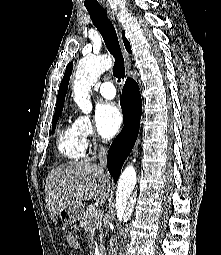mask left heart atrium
Instances as JSON below:
<instances>
[{"label":"left heart atrium","instance_id":"left-heart-atrium-1","mask_svg":"<svg viewBox=\"0 0 221 255\" xmlns=\"http://www.w3.org/2000/svg\"><path fill=\"white\" fill-rule=\"evenodd\" d=\"M96 117L99 129L108 135L114 134L122 123L121 110L114 103H103L99 105Z\"/></svg>","mask_w":221,"mask_h":255}]
</instances>
